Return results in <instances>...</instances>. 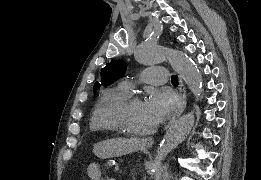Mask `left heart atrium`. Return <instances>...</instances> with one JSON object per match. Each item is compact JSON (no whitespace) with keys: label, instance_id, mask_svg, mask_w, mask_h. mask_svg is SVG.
Here are the masks:
<instances>
[{"label":"left heart atrium","instance_id":"left-heart-atrium-1","mask_svg":"<svg viewBox=\"0 0 261 180\" xmlns=\"http://www.w3.org/2000/svg\"><path fill=\"white\" fill-rule=\"evenodd\" d=\"M145 104L156 121L172 114L179 106L178 96L171 90L155 89L151 92Z\"/></svg>","mask_w":261,"mask_h":180}]
</instances>
